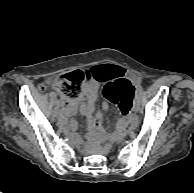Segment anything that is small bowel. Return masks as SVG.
<instances>
[{"label": "small bowel", "mask_w": 194, "mask_h": 193, "mask_svg": "<svg viewBox=\"0 0 194 193\" xmlns=\"http://www.w3.org/2000/svg\"><path fill=\"white\" fill-rule=\"evenodd\" d=\"M120 75L121 70L113 66H98L89 69L81 97L72 102H66L63 98L65 116L60 120L61 126L69 132L74 131L76 124L73 121H68V117L73 116L79 110L86 117L90 131L104 130L102 112H95L97 90L100 84L111 83ZM108 109V104L104 103L103 110L108 111ZM118 124L120 126L124 123L122 120H119Z\"/></svg>", "instance_id": "1"}]
</instances>
